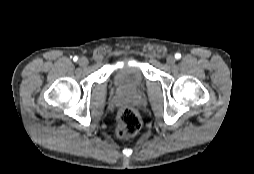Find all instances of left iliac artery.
Returning <instances> with one entry per match:
<instances>
[{
	"label": "left iliac artery",
	"mask_w": 254,
	"mask_h": 174,
	"mask_svg": "<svg viewBox=\"0 0 254 174\" xmlns=\"http://www.w3.org/2000/svg\"><path fill=\"white\" fill-rule=\"evenodd\" d=\"M175 58H176V59H180V58H181V54H180V53H176V54H175Z\"/></svg>",
	"instance_id": "obj_1"
}]
</instances>
